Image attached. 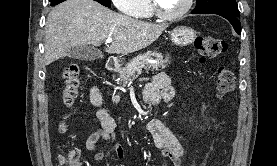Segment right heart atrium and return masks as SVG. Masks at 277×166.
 Returning a JSON list of instances; mask_svg holds the SVG:
<instances>
[{
  "mask_svg": "<svg viewBox=\"0 0 277 166\" xmlns=\"http://www.w3.org/2000/svg\"><path fill=\"white\" fill-rule=\"evenodd\" d=\"M113 5L122 13L137 16L144 8L147 0H111Z\"/></svg>",
  "mask_w": 277,
  "mask_h": 166,
  "instance_id": "right-heart-atrium-1",
  "label": "right heart atrium"
}]
</instances>
